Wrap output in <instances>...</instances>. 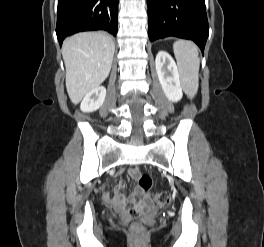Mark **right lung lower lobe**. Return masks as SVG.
<instances>
[{
  "label": "right lung lower lobe",
  "mask_w": 264,
  "mask_h": 247,
  "mask_svg": "<svg viewBox=\"0 0 264 247\" xmlns=\"http://www.w3.org/2000/svg\"><path fill=\"white\" fill-rule=\"evenodd\" d=\"M119 0H58L56 34L60 46L65 37L80 31L118 32Z\"/></svg>",
  "instance_id": "obj_1"
}]
</instances>
